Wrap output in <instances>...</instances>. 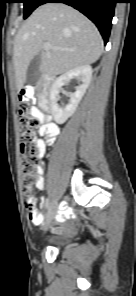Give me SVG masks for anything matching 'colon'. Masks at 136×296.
I'll return each mask as SVG.
<instances>
[{
	"label": "colon",
	"mask_w": 136,
	"mask_h": 296,
	"mask_svg": "<svg viewBox=\"0 0 136 296\" xmlns=\"http://www.w3.org/2000/svg\"><path fill=\"white\" fill-rule=\"evenodd\" d=\"M32 89H24L19 101V139H20V170L23 182V195L31 221L38 220L35 212L34 185L38 179L37 158L38 145L35 132L39 126L38 118L35 116V108L28 102L32 96Z\"/></svg>",
	"instance_id": "5ec220e1"
}]
</instances>
